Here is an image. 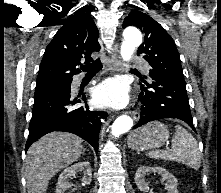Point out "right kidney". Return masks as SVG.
<instances>
[{
	"label": "right kidney",
	"instance_id": "1",
	"mask_svg": "<svg viewBox=\"0 0 221 193\" xmlns=\"http://www.w3.org/2000/svg\"><path fill=\"white\" fill-rule=\"evenodd\" d=\"M77 172H82L84 174L82 178L83 185H89L92 180V171L90 163L87 161L78 162L68 168H66L59 176L58 183L56 187V193H65V191L71 188V184L68 179L75 176Z\"/></svg>",
	"mask_w": 221,
	"mask_h": 193
}]
</instances>
